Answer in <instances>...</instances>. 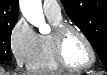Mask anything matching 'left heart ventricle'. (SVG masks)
Masks as SVG:
<instances>
[{"mask_svg":"<svg viewBox=\"0 0 107 75\" xmlns=\"http://www.w3.org/2000/svg\"><path fill=\"white\" fill-rule=\"evenodd\" d=\"M63 53L66 61L73 66H82L90 61V53L86 44L74 31H69L65 35Z\"/></svg>","mask_w":107,"mask_h":75,"instance_id":"1","label":"left heart ventricle"}]
</instances>
